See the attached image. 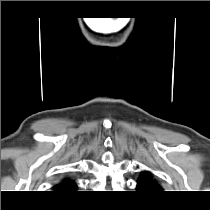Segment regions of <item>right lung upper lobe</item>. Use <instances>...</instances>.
<instances>
[{
  "label": "right lung upper lobe",
  "instance_id": "1",
  "mask_svg": "<svg viewBox=\"0 0 210 210\" xmlns=\"http://www.w3.org/2000/svg\"><path fill=\"white\" fill-rule=\"evenodd\" d=\"M77 185L73 180L64 179L61 183L55 186L56 192L58 193H70L74 192Z\"/></svg>",
  "mask_w": 210,
  "mask_h": 210
}]
</instances>
